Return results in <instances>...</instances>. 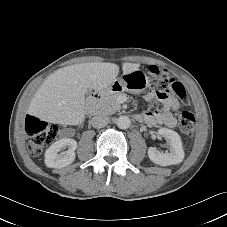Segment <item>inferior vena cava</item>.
Wrapping results in <instances>:
<instances>
[{
  "label": "inferior vena cava",
  "mask_w": 227,
  "mask_h": 227,
  "mask_svg": "<svg viewBox=\"0 0 227 227\" xmlns=\"http://www.w3.org/2000/svg\"><path fill=\"white\" fill-rule=\"evenodd\" d=\"M109 123V118L104 114H97L91 119V124L94 128L100 129Z\"/></svg>",
  "instance_id": "1"
}]
</instances>
